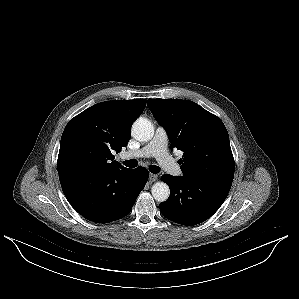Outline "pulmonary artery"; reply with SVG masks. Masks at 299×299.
<instances>
[{
	"label": "pulmonary artery",
	"instance_id": "obj_1",
	"mask_svg": "<svg viewBox=\"0 0 299 299\" xmlns=\"http://www.w3.org/2000/svg\"><path fill=\"white\" fill-rule=\"evenodd\" d=\"M168 134L166 130L158 126L153 138L141 148L135 151L124 153L126 158H144L155 157L161 167L172 175L179 176L182 174L180 166L169 155L168 152Z\"/></svg>",
	"mask_w": 299,
	"mask_h": 299
}]
</instances>
